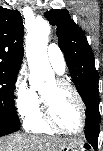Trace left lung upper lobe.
<instances>
[{"label":"left lung upper lobe","instance_id":"left-lung-upper-lobe-1","mask_svg":"<svg viewBox=\"0 0 103 151\" xmlns=\"http://www.w3.org/2000/svg\"><path fill=\"white\" fill-rule=\"evenodd\" d=\"M44 16L57 26L58 44L64 53L77 91L84 100L91 81L99 82L95 58L84 31L75 24L67 10H50Z\"/></svg>","mask_w":103,"mask_h":151}]
</instances>
